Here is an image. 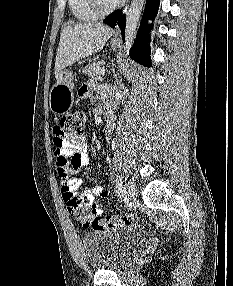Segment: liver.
I'll return each mask as SVG.
<instances>
[{"instance_id":"1","label":"liver","mask_w":233,"mask_h":286,"mask_svg":"<svg viewBox=\"0 0 233 286\" xmlns=\"http://www.w3.org/2000/svg\"><path fill=\"white\" fill-rule=\"evenodd\" d=\"M112 28L100 23L69 25L62 30L55 61V76L76 61L99 52L113 35Z\"/></svg>"}]
</instances>
